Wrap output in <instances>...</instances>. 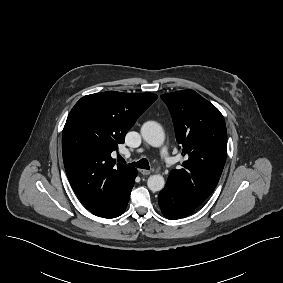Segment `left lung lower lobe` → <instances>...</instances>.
Here are the masks:
<instances>
[{
	"mask_svg": "<svg viewBox=\"0 0 283 283\" xmlns=\"http://www.w3.org/2000/svg\"><path fill=\"white\" fill-rule=\"evenodd\" d=\"M158 203L163 215L170 220L185 217L198 207L191 203L170 180H167L165 188L159 193Z\"/></svg>",
	"mask_w": 283,
	"mask_h": 283,
	"instance_id": "1",
	"label": "left lung lower lobe"
}]
</instances>
